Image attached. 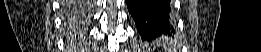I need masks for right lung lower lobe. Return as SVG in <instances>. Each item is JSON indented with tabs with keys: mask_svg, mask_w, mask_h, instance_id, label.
Wrapping results in <instances>:
<instances>
[{
	"mask_svg": "<svg viewBox=\"0 0 261 52\" xmlns=\"http://www.w3.org/2000/svg\"><path fill=\"white\" fill-rule=\"evenodd\" d=\"M68 9L70 10L68 15L71 16V15H74L75 13H77L78 7H76L75 5L70 4L68 6Z\"/></svg>",
	"mask_w": 261,
	"mask_h": 52,
	"instance_id": "right-lung-lower-lobe-1",
	"label": "right lung lower lobe"
}]
</instances>
